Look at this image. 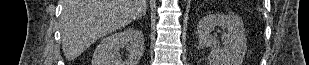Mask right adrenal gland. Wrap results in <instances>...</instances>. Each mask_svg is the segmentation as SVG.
Listing matches in <instances>:
<instances>
[{"label": "right adrenal gland", "mask_w": 309, "mask_h": 65, "mask_svg": "<svg viewBox=\"0 0 309 65\" xmlns=\"http://www.w3.org/2000/svg\"><path fill=\"white\" fill-rule=\"evenodd\" d=\"M146 10H147V6L145 7V9L143 10V12L140 14V16L138 17V19L142 18V16H146Z\"/></svg>", "instance_id": "1"}]
</instances>
